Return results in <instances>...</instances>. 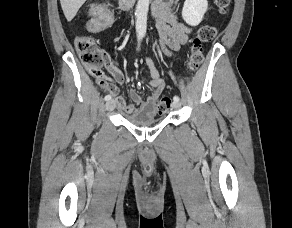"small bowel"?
Segmentation results:
<instances>
[{
    "mask_svg": "<svg viewBox=\"0 0 292 228\" xmlns=\"http://www.w3.org/2000/svg\"><path fill=\"white\" fill-rule=\"evenodd\" d=\"M154 15L156 17V27L159 33L160 44L166 54L179 50L189 40L191 28L183 23L178 16L165 4L157 3L154 7ZM150 80L149 86L152 92L146 98H143L134 88L130 89L129 96L134 102L127 103L122 96H117L116 106L127 114H144L155 115L158 111L156 103L164 90V81L151 58L146 60ZM105 67L112 78L119 84L125 82V76L117 67V61L111 55H105ZM101 87L113 95H118L119 90L116 85L108 79L102 77L98 81ZM138 106V107H136Z\"/></svg>",
    "mask_w": 292,
    "mask_h": 228,
    "instance_id": "1",
    "label": "small bowel"
}]
</instances>
